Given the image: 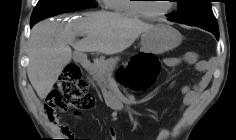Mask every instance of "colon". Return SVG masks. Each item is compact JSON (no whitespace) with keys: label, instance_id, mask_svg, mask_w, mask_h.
Returning a JSON list of instances; mask_svg holds the SVG:
<instances>
[{"label":"colon","instance_id":"1","mask_svg":"<svg viewBox=\"0 0 236 140\" xmlns=\"http://www.w3.org/2000/svg\"><path fill=\"white\" fill-rule=\"evenodd\" d=\"M160 70L159 62L151 56H135L126 63L120 76L123 83L133 91H146L154 84ZM96 99L89 91L76 64L68 65L50 92L46 112L51 121L57 122L59 113L67 109L88 110Z\"/></svg>","mask_w":236,"mask_h":140}]
</instances>
